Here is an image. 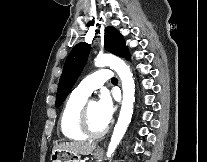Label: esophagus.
<instances>
[{
    "label": "esophagus",
    "mask_w": 207,
    "mask_h": 162,
    "mask_svg": "<svg viewBox=\"0 0 207 162\" xmlns=\"http://www.w3.org/2000/svg\"><path fill=\"white\" fill-rule=\"evenodd\" d=\"M102 150H103L102 147L98 149V151H102Z\"/></svg>",
    "instance_id": "1"
}]
</instances>
